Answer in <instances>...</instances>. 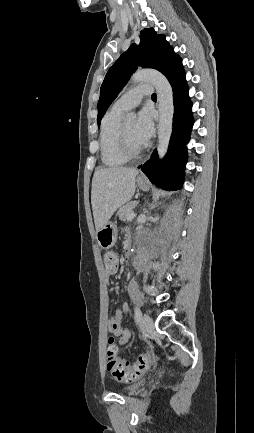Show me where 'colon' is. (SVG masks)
Instances as JSON below:
<instances>
[{"label": "colon", "mask_w": 254, "mask_h": 433, "mask_svg": "<svg viewBox=\"0 0 254 433\" xmlns=\"http://www.w3.org/2000/svg\"><path fill=\"white\" fill-rule=\"evenodd\" d=\"M105 272L114 274L118 266V254L113 250L103 254ZM107 371L113 378L120 382H131L141 377L151 364L148 354H141L135 362H128L118 358V347L113 337L108 340L107 346Z\"/></svg>", "instance_id": "5ec220e1"}]
</instances>
